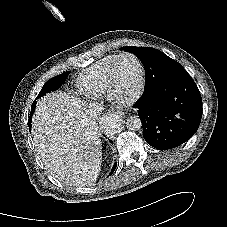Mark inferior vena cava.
Returning <instances> with one entry per match:
<instances>
[{
	"label": "inferior vena cava",
	"instance_id": "1",
	"mask_svg": "<svg viewBox=\"0 0 227 227\" xmlns=\"http://www.w3.org/2000/svg\"><path fill=\"white\" fill-rule=\"evenodd\" d=\"M89 113L94 118H97L101 114V107L97 104H90L89 105Z\"/></svg>",
	"mask_w": 227,
	"mask_h": 227
}]
</instances>
